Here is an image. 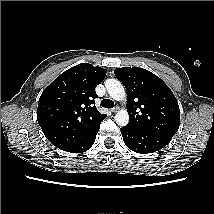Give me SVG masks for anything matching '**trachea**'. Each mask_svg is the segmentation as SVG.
I'll return each instance as SVG.
<instances>
[{
	"mask_svg": "<svg viewBox=\"0 0 214 214\" xmlns=\"http://www.w3.org/2000/svg\"><path fill=\"white\" fill-rule=\"evenodd\" d=\"M101 106L106 107V108H113L114 107V102L110 99H103L101 101Z\"/></svg>",
	"mask_w": 214,
	"mask_h": 214,
	"instance_id": "3493384b",
	"label": "trachea"
}]
</instances>
